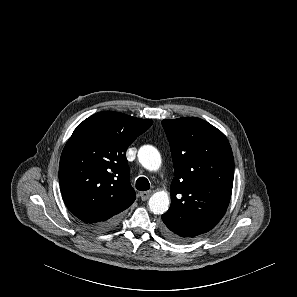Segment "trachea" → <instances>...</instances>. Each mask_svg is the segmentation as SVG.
Here are the masks:
<instances>
[{
	"mask_svg": "<svg viewBox=\"0 0 297 297\" xmlns=\"http://www.w3.org/2000/svg\"><path fill=\"white\" fill-rule=\"evenodd\" d=\"M136 189L139 191H146L150 189V183L145 177H139L136 180Z\"/></svg>",
	"mask_w": 297,
	"mask_h": 297,
	"instance_id": "obj_1",
	"label": "trachea"
}]
</instances>
